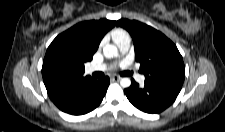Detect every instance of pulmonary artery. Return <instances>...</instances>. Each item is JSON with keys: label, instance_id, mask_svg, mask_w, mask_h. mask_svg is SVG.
I'll return each instance as SVG.
<instances>
[{"label": "pulmonary artery", "instance_id": "1", "mask_svg": "<svg viewBox=\"0 0 225 132\" xmlns=\"http://www.w3.org/2000/svg\"><path fill=\"white\" fill-rule=\"evenodd\" d=\"M130 43H131V40H130V38H128V39L122 40L117 45L122 53H126L130 48ZM106 69H107V65L96 64V65L89 66L87 71L89 73H92V72H97V71H104ZM135 78H136L137 82H139V83H143L145 80V76L141 75V74H135Z\"/></svg>", "mask_w": 225, "mask_h": 132}]
</instances>
